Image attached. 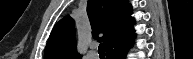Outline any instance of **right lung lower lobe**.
Returning a JSON list of instances; mask_svg holds the SVG:
<instances>
[{
	"instance_id": "98d812e1",
	"label": "right lung lower lobe",
	"mask_w": 193,
	"mask_h": 59,
	"mask_svg": "<svg viewBox=\"0 0 193 59\" xmlns=\"http://www.w3.org/2000/svg\"><path fill=\"white\" fill-rule=\"evenodd\" d=\"M134 35L117 44L106 52V59H125V55L130 43H132Z\"/></svg>"
}]
</instances>
